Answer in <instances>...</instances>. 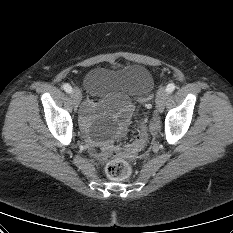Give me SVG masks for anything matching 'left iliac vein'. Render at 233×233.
<instances>
[{"label": "left iliac vein", "mask_w": 233, "mask_h": 233, "mask_svg": "<svg viewBox=\"0 0 233 233\" xmlns=\"http://www.w3.org/2000/svg\"><path fill=\"white\" fill-rule=\"evenodd\" d=\"M167 96L168 95L166 89L164 87H161L156 95V107L159 112L163 111Z\"/></svg>", "instance_id": "left-iliac-vein-1"}]
</instances>
